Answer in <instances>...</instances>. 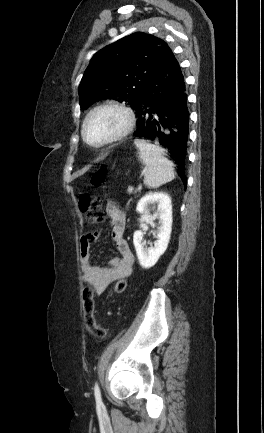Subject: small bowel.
Here are the masks:
<instances>
[{
    "mask_svg": "<svg viewBox=\"0 0 264 433\" xmlns=\"http://www.w3.org/2000/svg\"><path fill=\"white\" fill-rule=\"evenodd\" d=\"M106 213L110 219L111 237L119 252V257L112 259L108 267L93 265L91 262V242L100 232L95 231L80 239V258L83 280L91 286L96 294H101L107 286L130 276L134 264V255L124 238L125 215L114 202L106 204Z\"/></svg>",
    "mask_w": 264,
    "mask_h": 433,
    "instance_id": "small-bowel-1",
    "label": "small bowel"
}]
</instances>
